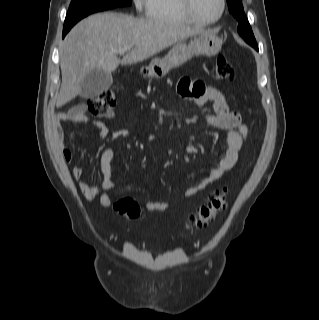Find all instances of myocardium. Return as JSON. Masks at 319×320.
Listing matches in <instances>:
<instances>
[{
    "mask_svg": "<svg viewBox=\"0 0 319 320\" xmlns=\"http://www.w3.org/2000/svg\"><path fill=\"white\" fill-rule=\"evenodd\" d=\"M180 1H181L182 9H183L184 13L186 14V16L194 24H198V25L207 26V25L216 24L223 18L225 11H226V0H220L221 7H220L219 15L215 19H212V20H203L196 15V13L194 11V6H193V2H194L193 0H180Z\"/></svg>",
    "mask_w": 319,
    "mask_h": 320,
    "instance_id": "obj_1",
    "label": "myocardium"
}]
</instances>
